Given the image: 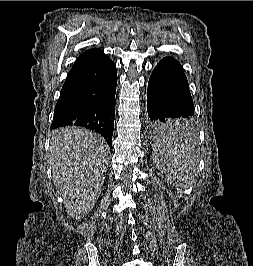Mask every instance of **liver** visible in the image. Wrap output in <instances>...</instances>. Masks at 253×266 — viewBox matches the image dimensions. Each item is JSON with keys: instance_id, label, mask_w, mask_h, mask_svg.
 Segmentation results:
<instances>
[{"instance_id": "obj_1", "label": "liver", "mask_w": 253, "mask_h": 266, "mask_svg": "<svg viewBox=\"0 0 253 266\" xmlns=\"http://www.w3.org/2000/svg\"><path fill=\"white\" fill-rule=\"evenodd\" d=\"M108 154L104 138L85 128L65 127L52 133L49 160L53 182L72 218L82 219L96 204Z\"/></svg>"}]
</instances>
